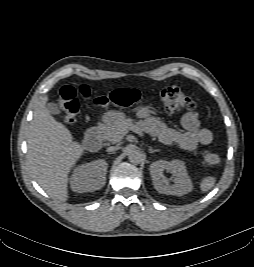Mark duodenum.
I'll return each instance as SVG.
<instances>
[{
	"instance_id": "duodenum-1",
	"label": "duodenum",
	"mask_w": 254,
	"mask_h": 267,
	"mask_svg": "<svg viewBox=\"0 0 254 267\" xmlns=\"http://www.w3.org/2000/svg\"><path fill=\"white\" fill-rule=\"evenodd\" d=\"M102 143L101 126H93L89 128L84 136V144L90 151H98Z\"/></svg>"
}]
</instances>
